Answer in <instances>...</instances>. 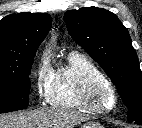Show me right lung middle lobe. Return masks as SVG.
Masks as SVG:
<instances>
[{
	"instance_id": "right-lung-middle-lobe-1",
	"label": "right lung middle lobe",
	"mask_w": 142,
	"mask_h": 128,
	"mask_svg": "<svg viewBox=\"0 0 142 128\" xmlns=\"http://www.w3.org/2000/svg\"><path fill=\"white\" fill-rule=\"evenodd\" d=\"M32 64L33 59L14 71L0 74V114L27 107Z\"/></svg>"
}]
</instances>
